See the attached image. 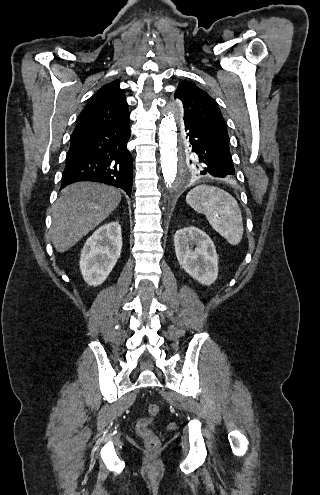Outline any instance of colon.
<instances>
[{
  "mask_svg": "<svg viewBox=\"0 0 320 495\" xmlns=\"http://www.w3.org/2000/svg\"><path fill=\"white\" fill-rule=\"evenodd\" d=\"M159 412L160 408L157 404L148 405L147 417L140 419L136 426L138 435L144 440L149 449H156L160 445L159 437L150 429Z\"/></svg>",
  "mask_w": 320,
  "mask_h": 495,
  "instance_id": "5ec220e1",
  "label": "colon"
}]
</instances>
